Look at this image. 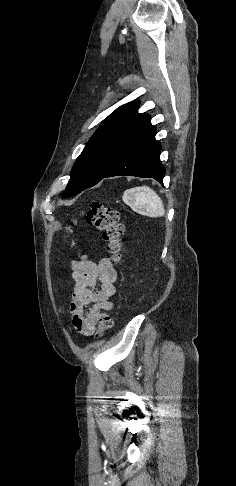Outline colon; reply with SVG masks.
Wrapping results in <instances>:
<instances>
[{"label":"colon","instance_id":"obj_1","mask_svg":"<svg viewBox=\"0 0 236 486\" xmlns=\"http://www.w3.org/2000/svg\"><path fill=\"white\" fill-rule=\"evenodd\" d=\"M89 224L95 226L101 233L102 239L107 243V251L114 261H119L123 247L124 226L120 221L119 212L99 201H93L85 214ZM113 319L108 313L98 317L97 336H102L112 328Z\"/></svg>","mask_w":236,"mask_h":486}]
</instances>
